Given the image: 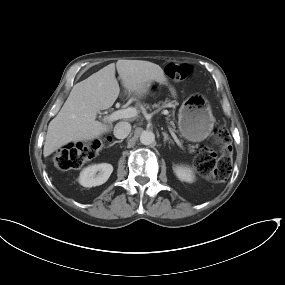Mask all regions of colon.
<instances>
[{
    "mask_svg": "<svg viewBox=\"0 0 285 285\" xmlns=\"http://www.w3.org/2000/svg\"><path fill=\"white\" fill-rule=\"evenodd\" d=\"M168 74L181 81L188 80L193 74V67L187 64L169 63L166 68ZM212 145L218 150L204 146L200 148L195 159V166L201 177L216 182L224 181L232 168V149L225 127H217L212 135ZM100 147L98 140H92L79 148L68 145L54 154V164L60 170L80 168L90 152Z\"/></svg>",
    "mask_w": 285,
    "mask_h": 285,
    "instance_id": "5ec220e1",
    "label": "colon"
}]
</instances>
